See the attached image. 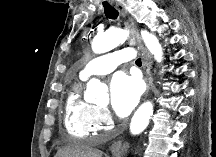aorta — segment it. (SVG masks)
<instances>
[{
  "mask_svg": "<svg viewBox=\"0 0 216 157\" xmlns=\"http://www.w3.org/2000/svg\"><path fill=\"white\" fill-rule=\"evenodd\" d=\"M128 35V30L111 29L94 38L92 50L97 54L111 51L123 43ZM141 36L155 60L160 63L163 59V51L157 37L146 30L141 31ZM85 99L87 101H94L95 103L106 102L109 100L107 88L98 79L93 78L87 84ZM153 111V104L151 102H145L137 109L130 123V132L133 135H138L146 129Z\"/></svg>",
  "mask_w": 216,
  "mask_h": 157,
  "instance_id": "obj_1",
  "label": "aorta"
}]
</instances>
